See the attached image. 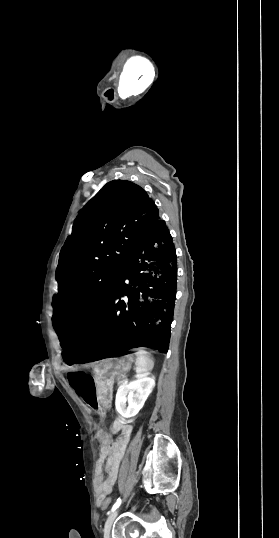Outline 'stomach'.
<instances>
[{"mask_svg":"<svg viewBox=\"0 0 279 538\" xmlns=\"http://www.w3.org/2000/svg\"><path fill=\"white\" fill-rule=\"evenodd\" d=\"M131 368L130 353H115L112 358H101L97 363L95 376L99 380L97 385L98 399L103 408H108L112 402L109 392L113 386L111 382H119L120 374H125Z\"/></svg>","mask_w":279,"mask_h":538,"instance_id":"obj_1","label":"stomach"}]
</instances>
